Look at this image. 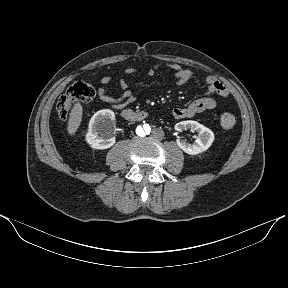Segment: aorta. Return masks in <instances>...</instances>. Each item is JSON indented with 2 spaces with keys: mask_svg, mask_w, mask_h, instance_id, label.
I'll list each match as a JSON object with an SVG mask.
<instances>
[{
  "mask_svg": "<svg viewBox=\"0 0 288 288\" xmlns=\"http://www.w3.org/2000/svg\"><path fill=\"white\" fill-rule=\"evenodd\" d=\"M153 131V128L149 124H144L138 127L137 129V134L141 138H146L151 136V133Z\"/></svg>",
  "mask_w": 288,
  "mask_h": 288,
  "instance_id": "1",
  "label": "aorta"
}]
</instances>
